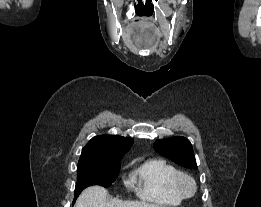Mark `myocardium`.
Returning a JSON list of instances; mask_svg holds the SVG:
<instances>
[{
	"label": "myocardium",
	"mask_w": 261,
	"mask_h": 207,
	"mask_svg": "<svg viewBox=\"0 0 261 207\" xmlns=\"http://www.w3.org/2000/svg\"><path fill=\"white\" fill-rule=\"evenodd\" d=\"M175 189L183 198L192 197L197 191V184L192 176L179 172L174 180Z\"/></svg>",
	"instance_id": "f54148a6"
}]
</instances>
